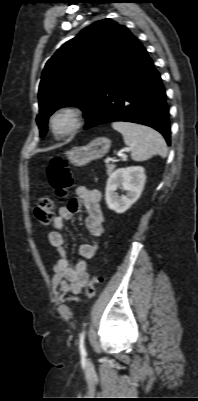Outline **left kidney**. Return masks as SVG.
<instances>
[{
    "mask_svg": "<svg viewBox=\"0 0 198 401\" xmlns=\"http://www.w3.org/2000/svg\"><path fill=\"white\" fill-rule=\"evenodd\" d=\"M145 180L144 168L141 166L119 168L114 171L106 185L105 200L108 208L119 214L128 210L141 196ZM119 186L127 192L126 195L121 197L116 195Z\"/></svg>",
    "mask_w": 198,
    "mask_h": 401,
    "instance_id": "1",
    "label": "left kidney"
}]
</instances>
